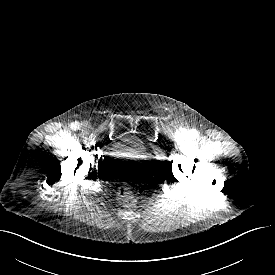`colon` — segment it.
Here are the masks:
<instances>
[{
	"instance_id": "colon-1",
	"label": "colon",
	"mask_w": 275,
	"mask_h": 275,
	"mask_svg": "<svg viewBox=\"0 0 275 275\" xmlns=\"http://www.w3.org/2000/svg\"><path fill=\"white\" fill-rule=\"evenodd\" d=\"M120 202L125 206H132L136 202V187L132 183L124 182L118 189Z\"/></svg>"
}]
</instances>
